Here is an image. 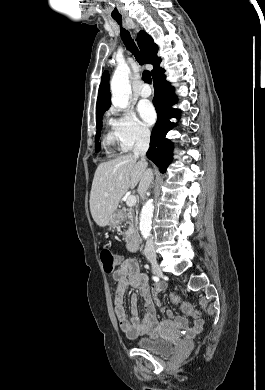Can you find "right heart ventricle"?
I'll use <instances>...</instances> for the list:
<instances>
[{
    "label": "right heart ventricle",
    "mask_w": 265,
    "mask_h": 390,
    "mask_svg": "<svg viewBox=\"0 0 265 390\" xmlns=\"http://www.w3.org/2000/svg\"><path fill=\"white\" fill-rule=\"evenodd\" d=\"M117 139L113 131H107L104 136V146L105 148L111 152L113 148L117 147Z\"/></svg>",
    "instance_id": "e07e8e85"
}]
</instances>
